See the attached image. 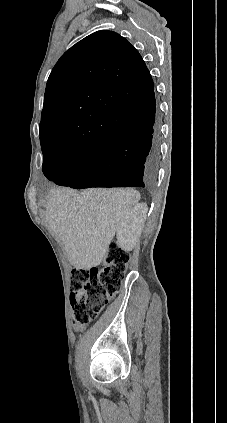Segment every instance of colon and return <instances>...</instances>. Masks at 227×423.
Returning a JSON list of instances; mask_svg holds the SVG:
<instances>
[{
	"label": "colon",
	"mask_w": 227,
	"mask_h": 423,
	"mask_svg": "<svg viewBox=\"0 0 227 423\" xmlns=\"http://www.w3.org/2000/svg\"><path fill=\"white\" fill-rule=\"evenodd\" d=\"M129 260L125 250L112 244L101 267L74 270L70 303L77 328L93 321L120 291Z\"/></svg>",
	"instance_id": "5ec220e1"
}]
</instances>
